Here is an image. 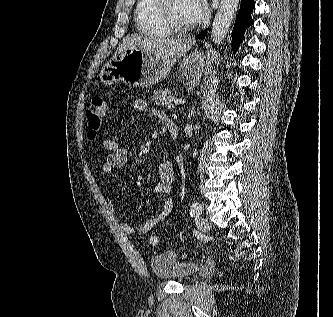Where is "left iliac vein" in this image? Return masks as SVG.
<instances>
[{"label": "left iliac vein", "mask_w": 333, "mask_h": 317, "mask_svg": "<svg viewBox=\"0 0 333 317\" xmlns=\"http://www.w3.org/2000/svg\"><path fill=\"white\" fill-rule=\"evenodd\" d=\"M196 224L199 227V229L202 230V231H206V230L209 229L208 221L204 217H202L201 215H198L196 217Z\"/></svg>", "instance_id": "left-iliac-vein-1"}]
</instances>
